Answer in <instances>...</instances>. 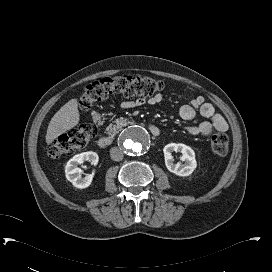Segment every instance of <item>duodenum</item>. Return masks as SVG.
<instances>
[{"label":"duodenum","instance_id":"1","mask_svg":"<svg viewBox=\"0 0 272 272\" xmlns=\"http://www.w3.org/2000/svg\"><path fill=\"white\" fill-rule=\"evenodd\" d=\"M129 125H130L129 121H123L121 123L120 127L124 128ZM148 129H149L150 133L152 134V136L157 137L160 135V130L156 125L150 124L148 126ZM114 139H115V134H109V135L103 136L98 140V145L102 148H105L107 146H110L113 143Z\"/></svg>","mask_w":272,"mask_h":272}]
</instances>
